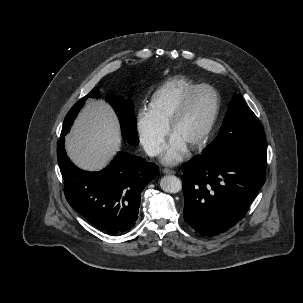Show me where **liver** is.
Segmentation results:
<instances>
[{"instance_id": "6515ba94", "label": "liver", "mask_w": 303, "mask_h": 303, "mask_svg": "<svg viewBox=\"0 0 303 303\" xmlns=\"http://www.w3.org/2000/svg\"><path fill=\"white\" fill-rule=\"evenodd\" d=\"M70 159L85 170H100L121 146L118 119L104 101H90L78 115L66 137Z\"/></svg>"}]
</instances>
